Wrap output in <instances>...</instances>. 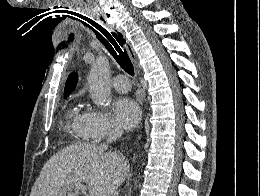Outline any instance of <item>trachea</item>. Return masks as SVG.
I'll return each mask as SVG.
<instances>
[{"mask_svg": "<svg viewBox=\"0 0 260 196\" xmlns=\"http://www.w3.org/2000/svg\"><path fill=\"white\" fill-rule=\"evenodd\" d=\"M107 40L102 41L103 45L106 49L111 53V55L115 58L117 63L123 68L126 73L131 76H134V68L130 57L123 46L125 44V39L123 38L122 33L119 31L116 33H104Z\"/></svg>", "mask_w": 260, "mask_h": 196, "instance_id": "trachea-1", "label": "trachea"}]
</instances>
